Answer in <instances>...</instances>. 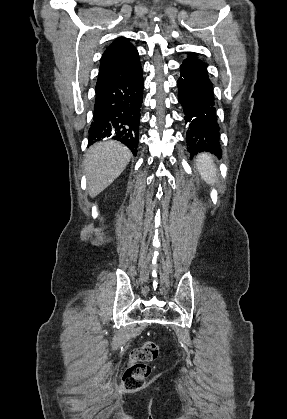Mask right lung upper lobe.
<instances>
[{
	"label": "right lung upper lobe",
	"mask_w": 287,
	"mask_h": 419,
	"mask_svg": "<svg viewBox=\"0 0 287 419\" xmlns=\"http://www.w3.org/2000/svg\"><path fill=\"white\" fill-rule=\"evenodd\" d=\"M140 65L137 50L128 39L119 37L103 53L100 59L96 88L115 79L125 77Z\"/></svg>",
	"instance_id": "1"
}]
</instances>
